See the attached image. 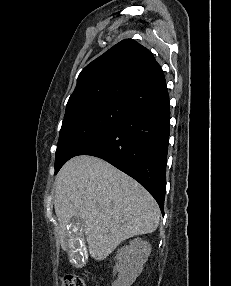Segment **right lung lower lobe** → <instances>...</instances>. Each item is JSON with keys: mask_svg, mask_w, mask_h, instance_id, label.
Masks as SVG:
<instances>
[{"mask_svg": "<svg viewBox=\"0 0 231 286\" xmlns=\"http://www.w3.org/2000/svg\"><path fill=\"white\" fill-rule=\"evenodd\" d=\"M128 107V115L77 155L104 159L137 180L155 198L163 213L170 119L165 81Z\"/></svg>", "mask_w": 231, "mask_h": 286, "instance_id": "right-lung-lower-lobe-1", "label": "right lung lower lobe"}]
</instances>
